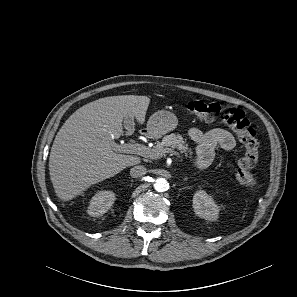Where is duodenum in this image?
<instances>
[{"mask_svg":"<svg viewBox=\"0 0 297 297\" xmlns=\"http://www.w3.org/2000/svg\"><path fill=\"white\" fill-rule=\"evenodd\" d=\"M140 135H141V137L146 138L151 135V132L149 130L143 129V130H141Z\"/></svg>","mask_w":297,"mask_h":297,"instance_id":"1","label":"duodenum"}]
</instances>
